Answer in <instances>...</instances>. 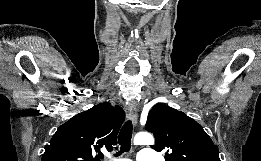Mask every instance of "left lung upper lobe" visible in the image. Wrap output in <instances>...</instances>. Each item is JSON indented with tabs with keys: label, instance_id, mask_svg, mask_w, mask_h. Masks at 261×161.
Masks as SVG:
<instances>
[{
	"label": "left lung upper lobe",
	"instance_id": "obj_1",
	"mask_svg": "<svg viewBox=\"0 0 261 161\" xmlns=\"http://www.w3.org/2000/svg\"><path fill=\"white\" fill-rule=\"evenodd\" d=\"M146 130L152 132L156 151L165 150L167 161H220L218 147L195 120L165 104L149 111Z\"/></svg>",
	"mask_w": 261,
	"mask_h": 161
}]
</instances>
